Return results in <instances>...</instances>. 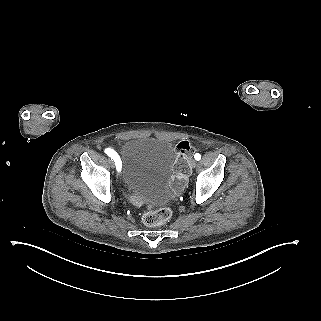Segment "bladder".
<instances>
[{
  "label": "bladder",
  "instance_id": "obj_1",
  "mask_svg": "<svg viewBox=\"0 0 321 321\" xmlns=\"http://www.w3.org/2000/svg\"><path fill=\"white\" fill-rule=\"evenodd\" d=\"M176 158V149L167 140L151 137L126 140L120 152L122 188L146 205L167 201Z\"/></svg>",
  "mask_w": 321,
  "mask_h": 321
}]
</instances>
